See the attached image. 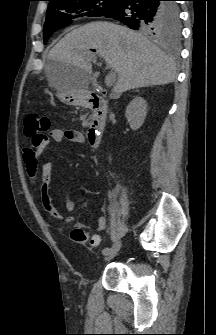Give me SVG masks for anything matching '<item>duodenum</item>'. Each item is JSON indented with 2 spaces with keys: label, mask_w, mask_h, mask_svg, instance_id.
<instances>
[{
  "label": "duodenum",
  "mask_w": 216,
  "mask_h": 335,
  "mask_svg": "<svg viewBox=\"0 0 216 335\" xmlns=\"http://www.w3.org/2000/svg\"><path fill=\"white\" fill-rule=\"evenodd\" d=\"M85 105L92 111L91 120L87 129L89 143L96 147L101 141L105 129L107 105L105 99L99 94H91L85 100Z\"/></svg>",
  "instance_id": "duodenum-1"
}]
</instances>
